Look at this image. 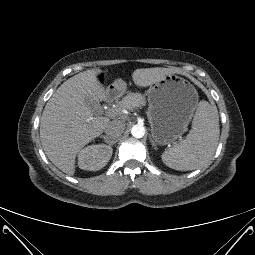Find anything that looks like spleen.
<instances>
[{
	"label": "spleen",
	"mask_w": 255,
	"mask_h": 255,
	"mask_svg": "<svg viewBox=\"0 0 255 255\" xmlns=\"http://www.w3.org/2000/svg\"><path fill=\"white\" fill-rule=\"evenodd\" d=\"M219 135L217 107L207 101H200L186 139L164 151L162 161L168 167L180 171L202 168L211 161Z\"/></svg>",
	"instance_id": "3e777b00"
}]
</instances>
